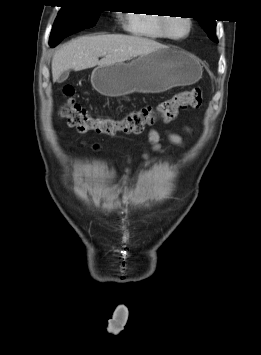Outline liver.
Here are the masks:
<instances>
[{
  "label": "liver",
  "instance_id": "6515ba94",
  "mask_svg": "<svg viewBox=\"0 0 261 355\" xmlns=\"http://www.w3.org/2000/svg\"><path fill=\"white\" fill-rule=\"evenodd\" d=\"M164 47L148 38L122 34L81 36L56 50L52 58V77L56 82L62 72L80 71L121 63ZM105 53V55H102ZM103 56L101 60L99 57Z\"/></svg>",
  "mask_w": 261,
  "mask_h": 355
}]
</instances>
